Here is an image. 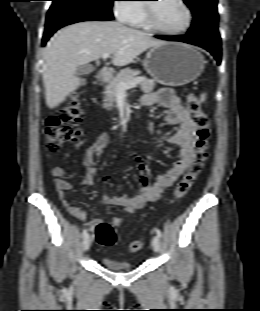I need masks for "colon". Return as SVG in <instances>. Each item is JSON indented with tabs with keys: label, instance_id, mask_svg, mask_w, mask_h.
<instances>
[{
	"label": "colon",
	"instance_id": "colon-1",
	"mask_svg": "<svg viewBox=\"0 0 260 311\" xmlns=\"http://www.w3.org/2000/svg\"><path fill=\"white\" fill-rule=\"evenodd\" d=\"M187 110L192 114L196 125L195 152L190 168L177 183L173 192V200L185 196L192 184L201 173L207 158L211 138L210 118L201 110L196 95L187 96ZM83 118V108L77 98H73L58 115L50 117L46 121V148L51 154L59 152L66 142L77 140L81 135L80 124ZM94 235L99 244L112 246L116 243L117 234L114 226L108 222H100L94 228ZM143 247L141 239L132 241L128 250L138 252Z\"/></svg>",
	"mask_w": 260,
	"mask_h": 311
}]
</instances>
